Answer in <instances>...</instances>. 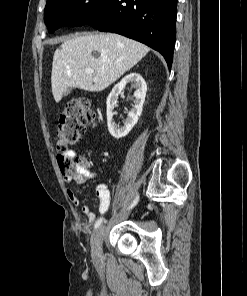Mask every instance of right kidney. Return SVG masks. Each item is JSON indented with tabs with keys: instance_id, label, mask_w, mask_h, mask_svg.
Here are the masks:
<instances>
[{
	"instance_id": "right-kidney-1",
	"label": "right kidney",
	"mask_w": 247,
	"mask_h": 296,
	"mask_svg": "<svg viewBox=\"0 0 247 296\" xmlns=\"http://www.w3.org/2000/svg\"><path fill=\"white\" fill-rule=\"evenodd\" d=\"M134 83L136 91L134 93V105L131 111L128 113L127 118L124 121V125L119 127L113 120V110L117 106V99L119 94L126 87L127 83ZM147 92V85L143 77L138 73H130L126 75L119 83H117L107 98V125L110 134L116 138L125 137L134 125L138 121V117L141 115L145 96Z\"/></svg>"
}]
</instances>
